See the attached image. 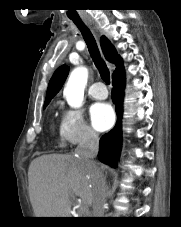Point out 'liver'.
Returning <instances> with one entry per match:
<instances>
[{"label":"liver","instance_id":"obj_1","mask_svg":"<svg viewBox=\"0 0 181 227\" xmlns=\"http://www.w3.org/2000/svg\"><path fill=\"white\" fill-rule=\"evenodd\" d=\"M93 170L71 154L34 159L28 171L29 197L36 217H70L74 196L93 203Z\"/></svg>","mask_w":181,"mask_h":227}]
</instances>
